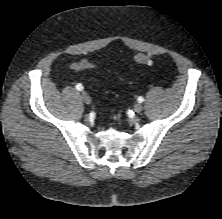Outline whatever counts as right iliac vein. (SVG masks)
Instances as JSON below:
<instances>
[{"instance_id": "right-iliac-vein-1", "label": "right iliac vein", "mask_w": 222, "mask_h": 219, "mask_svg": "<svg viewBox=\"0 0 222 219\" xmlns=\"http://www.w3.org/2000/svg\"><path fill=\"white\" fill-rule=\"evenodd\" d=\"M81 98L82 100L86 103V104H90L91 103V98L89 96V94L87 92H82L81 93Z\"/></svg>"}]
</instances>
